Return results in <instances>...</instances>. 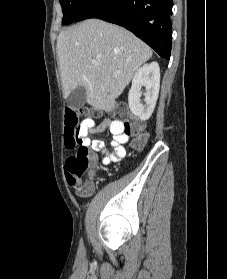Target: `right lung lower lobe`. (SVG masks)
<instances>
[{
	"label": "right lung lower lobe",
	"instance_id": "1",
	"mask_svg": "<svg viewBox=\"0 0 227 279\" xmlns=\"http://www.w3.org/2000/svg\"><path fill=\"white\" fill-rule=\"evenodd\" d=\"M172 6V0H88L74 22L98 18L118 24L169 59Z\"/></svg>",
	"mask_w": 227,
	"mask_h": 279
}]
</instances>
